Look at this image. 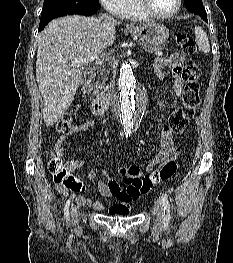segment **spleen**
I'll list each match as a JSON object with an SVG mask.
<instances>
[{
	"mask_svg": "<svg viewBox=\"0 0 233 263\" xmlns=\"http://www.w3.org/2000/svg\"><path fill=\"white\" fill-rule=\"evenodd\" d=\"M194 31L199 49H201L205 53H208L210 51V45L206 33L199 26H196Z\"/></svg>",
	"mask_w": 233,
	"mask_h": 263,
	"instance_id": "3e777b00",
	"label": "spleen"
}]
</instances>
